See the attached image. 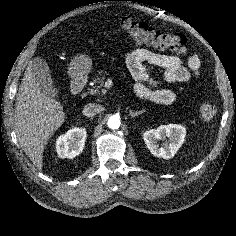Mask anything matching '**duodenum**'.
Instances as JSON below:
<instances>
[{
	"label": "duodenum",
	"mask_w": 236,
	"mask_h": 236,
	"mask_svg": "<svg viewBox=\"0 0 236 236\" xmlns=\"http://www.w3.org/2000/svg\"><path fill=\"white\" fill-rule=\"evenodd\" d=\"M84 87H85V81L82 78H76L71 83L70 92L72 95L77 96L81 94Z\"/></svg>",
	"instance_id": "obj_1"
}]
</instances>
